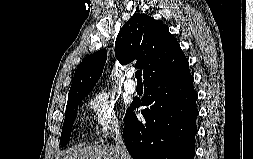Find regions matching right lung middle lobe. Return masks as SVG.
<instances>
[{
	"instance_id": "1",
	"label": "right lung middle lobe",
	"mask_w": 253,
	"mask_h": 159,
	"mask_svg": "<svg viewBox=\"0 0 253 159\" xmlns=\"http://www.w3.org/2000/svg\"><path fill=\"white\" fill-rule=\"evenodd\" d=\"M84 98L85 96L75 98L67 102L65 120L60 138L61 146H65L70 140L71 129L77 116V108Z\"/></svg>"
}]
</instances>
